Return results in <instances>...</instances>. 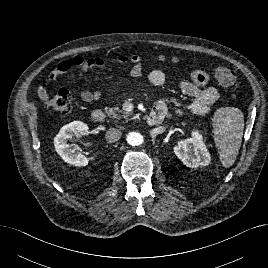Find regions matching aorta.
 <instances>
[{
    "mask_svg": "<svg viewBox=\"0 0 268 268\" xmlns=\"http://www.w3.org/2000/svg\"><path fill=\"white\" fill-rule=\"evenodd\" d=\"M127 143L132 146H138L143 143V136L138 132H130L126 136Z\"/></svg>",
    "mask_w": 268,
    "mask_h": 268,
    "instance_id": "aorta-1",
    "label": "aorta"
}]
</instances>
